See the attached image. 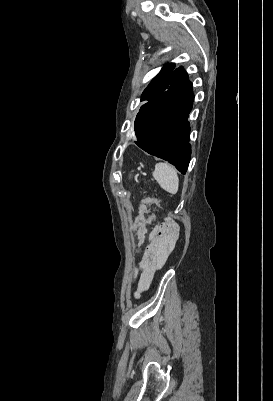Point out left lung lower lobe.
Listing matches in <instances>:
<instances>
[{
	"mask_svg": "<svg viewBox=\"0 0 273 401\" xmlns=\"http://www.w3.org/2000/svg\"><path fill=\"white\" fill-rule=\"evenodd\" d=\"M193 100L192 83L179 67L173 72L168 89L141 106L134 123L136 145L167 160L182 174L186 173L191 156L187 118Z\"/></svg>",
	"mask_w": 273,
	"mask_h": 401,
	"instance_id": "0a47b994",
	"label": "left lung lower lobe"
}]
</instances>
